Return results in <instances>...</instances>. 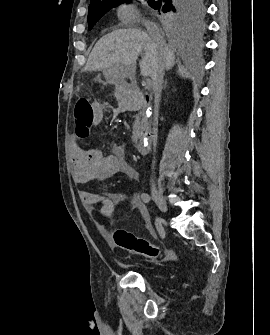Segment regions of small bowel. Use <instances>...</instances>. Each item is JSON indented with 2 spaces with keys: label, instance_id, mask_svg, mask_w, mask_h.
<instances>
[{
  "label": "small bowel",
  "instance_id": "c3829d8e",
  "mask_svg": "<svg viewBox=\"0 0 270 335\" xmlns=\"http://www.w3.org/2000/svg\"><path fill=\"white\" fill-rule=\"evenodd\" d=\"M104 112L100 105L94 108V123L100 125ZM71 173L76 183H88L97 179H105L114 174H123L132 181H139L140 175L136 168L126 160L125 149L121 146L113 147L110 154H104L98 148L82 150L74 147L71 153ZM78 196L85 209L92 216H96V227L102 235H106V227L112 225L115 205L128 204L140 215L142 221L149 226L150 218L146 205L137 194L126 196L122 193L109 191L91 192L78 190ZM99 205V209H95Z\"/></svg>",
  "mask_w": 270,
  "mask_h": 335
}]
</instances>
